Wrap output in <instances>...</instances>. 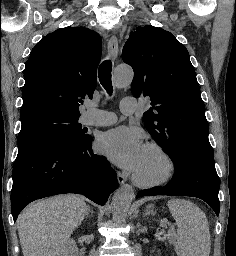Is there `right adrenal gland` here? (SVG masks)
Instances as JSON below:
<instances>
[{"label":"right adrenal gland","instance_id":"2a0ac1e0","mask_svg":"<svg viewBox=\"0 0 236 256\" xmlns=\"http://www.w3.org/2000/svg\"><path fill=\"white\" fill-rule=\"evenodd\" d=\"M88 212H91V214H93V210H88Z\"/></svg>","mask_w":236,"mask_h":256}]
</instances>
